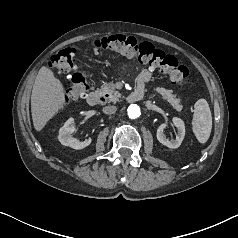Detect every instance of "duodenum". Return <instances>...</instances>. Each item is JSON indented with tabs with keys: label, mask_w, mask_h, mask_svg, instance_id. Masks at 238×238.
<instances>
[{
	"label": "duodenum",
	"mask_w": 238,
	"mask_h": 238,
	"mask_svg": "<svg viewBox=\"0 0 238 238\" xmlns=\"http://www.w3.org/2000/svg\"><path fill=\"white\" fill-rule=\"evenodd\" d=\"M143 94H144L143 87L137 86L135 90H133L130 94H128V96L126 97V101L129 103L137 102L143 98ZM87 102L89 105L94 106L104 103L105 98L101 93L91 92L87 96Z\"/></svg>",
	"instance_id": "obj_1"
}]
</instances>
